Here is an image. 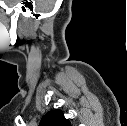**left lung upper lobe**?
Segmentation results:
<instances>
[{
	"label": "left lung upper lobe",
	"mask_w": 127,
	"mask_h": 126,
	"mask_svg": "<svg viewBox=\"0 0 127 126\" xmlns=\"http://www.w3.org/2000/svg\"><path fill=\"white\" fill-rule=\"evenodd\" d=\"M39 126H71L61 110L48 112L41 120Z\"/></svg>",
	"instance_id": "5c2ea615"
}]
</instances>
